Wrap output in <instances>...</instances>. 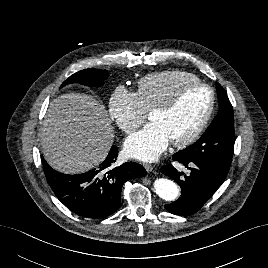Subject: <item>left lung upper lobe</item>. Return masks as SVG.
<instances>
[{
	"mask_svg": "<svg viewBox=\"0 0 268 268\" xmlns=\"http://www.w3.org/2000/svg\"><path fill=\"white\" fill-rule=\"evenodd\" d=\"M219 112L200 139L193 145L174 154L184 160H199L230 168L235 133L232 105L225 90L216 84Z\"/></svg>",
	"mask_w": 268,
	"mask_h": 268,
	"instance_id": "obj_1",
	"label": "left lung upper lobe"
}]
</instances>
